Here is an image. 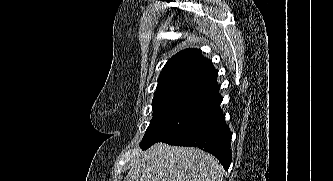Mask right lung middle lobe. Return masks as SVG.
Returning a JSON list of instances; mask_svg holds the SVG:
<instances>
[{
  "instance_id": "obj_1",
  "label": "right lung middle lobe",
  "mask_w": 333,
  "mask_h": 181,
  "mask_svg": "<svg viewBox=\"0 0 333 181\" xmlns=\"http://www.w3.org/2000/svg\"><path fill=\"white\" fill-rule=\"evenodd\" d=\"M207 113L189 107H162L153 109V118L140 147L147 149L156 142L172 141L192 129Z\"/></svg>"
}]
</instances>
